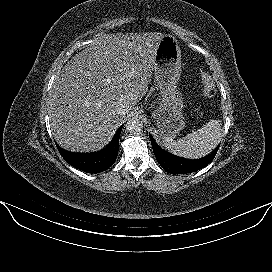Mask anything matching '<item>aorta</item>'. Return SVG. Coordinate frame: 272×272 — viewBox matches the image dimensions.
I'll list each match as a JSON object with an SVG mask.
<instances>
[{"label":"aorta","mask_w":272,"mask_h":272,"mask_svg":"<svg viewBox=\"0 0 272 272\" xmlns=\"http://www.w3.org/2000/svg\"><path fill=\"white\" fill-rule=\"evenodd\" d=\"M125 126L129 133H138L143 129V123L138 118L129 119Z\"/></svg>","instance_id":"obj_1"}]
</instances>
